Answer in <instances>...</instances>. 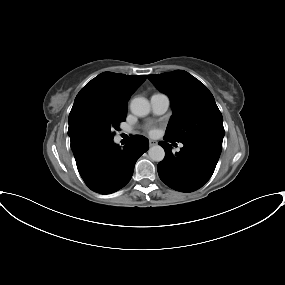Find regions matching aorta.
Instances as JSON below:
<instances>
[{"label": "aorta", "instance_id": "1", "mask_svg": "<svg viewBox=\"0 0 285 285\" xmlns=\"http://www.w3.org/2000/svg\"><path fill=\"white\" fill-rule=\"evenodd\" d=\"M130 110L136 116H146L150 112V103L144 97L134 98L130 103ZM148 155L152 161L160 162L165 157V151L160 145H155L149 148Z\"/></svg>", "mask_w": 285, "mask_h": 285}]
</instances>
